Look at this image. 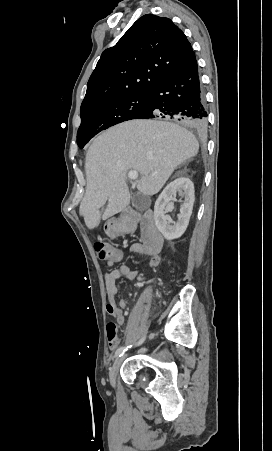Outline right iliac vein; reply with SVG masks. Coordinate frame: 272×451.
Returning a JSON list of instances; mask_svg holds the SVG:
<instances>
[{"mask_svg": "<svg viewBox=\"0 0 272 451\" xmlns=\"http://www.w3.org/2000/svg\"><path fill=\"white\" fill-rule=\"evenodd\" d=\"M123 360H124V356L118 357L116 359V361L114 362L113 366L111 367L110 372H109V380H110L111 384H115L116 376L118 374V371L120 369V366H121Z\"/></svg>", "mask_w": 272, "mask_h": 451, "instance_id": "right-iliac-vein-1", "label": "right iliac vein"}]
</instances>
